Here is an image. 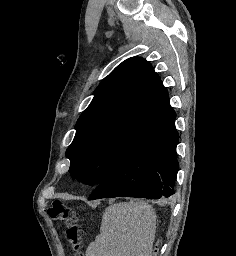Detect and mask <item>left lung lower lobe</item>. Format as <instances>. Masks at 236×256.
I'll return each instance as SVG.
<instances>
[{"label":"left lung lower lobe","mask_w":236,"mask_h":256,"mask_svg":"<svg viewBox=\"0 0 236 256\" xmlns=\"http://www.w3.org/2000/svg\"><path fill=\"white\" fill-rule=\"evenodd\" d=\"M175 118L167 103L143 121L89 200L120 196L159 199L174 194L179 166Z\"/></svg>","instance_id":"left-lung-lower-lobe-1"}]
</instances>
